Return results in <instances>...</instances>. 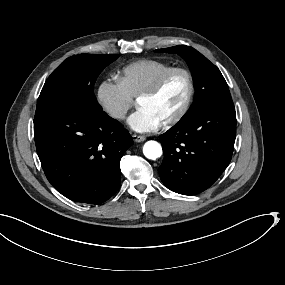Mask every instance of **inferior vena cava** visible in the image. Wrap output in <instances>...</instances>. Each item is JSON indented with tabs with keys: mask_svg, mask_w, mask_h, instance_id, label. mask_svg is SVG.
Listing matches in <instances>:
<instances>
[{
	"mask_svg": "<svg viewBox=\"0 0 285 285\" xmlns=\"http://www.w3.org/2000/svg\"><path fill=\"white\" fill-rule=\"evenodd\" d=\"M128 109L129 107H127L126 105L110 106L109 108H107V112L113 118L123 119L125 118Z\"/></svg>",
	"mask_w": 285,
	"mask_h": 285,
	"instance_id": "602c4592",
	"label": "inferior vena cava"
}]
</instances>
